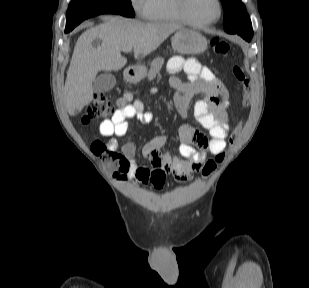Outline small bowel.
Instances as JSON below:
<instances>
[{
  "instance_id": "1",
  "label": "small bowel",
  "mask_w": 309,
  "mask_h": 288,
  "mask_svg": "<svg viewBox=\"0 0 309 288\" xmlns=\"http://www.w3.org/2000/svg\"><path fill=\"white\" fill-rule=\"evenodd\" d=\"M182 69L188 74L189 82L183 83L176 77L171 78V84L177 90L174 105L180 120L178 136L182 159L161 152L167 140L163 135L153 137L143 148V155L152 163V169L137 164L133 143H126L121 148L127 162V173L138 184H150L156 190L163 188L168 174L178 182H185L201 171L209 153L218 154L225 150V139L230 130L227 114L229 98L224 86L207 67L194 58L184 60L172 57L168 63V71L175 74ZM195 95H199V99L194 104V115L198 123L209 131V139L183 122L189 102ZM117 104L118 108L113 116L99 126V133L106 138L111 151L118 148L116 138L127 134L129 119H136L141 123H150L154 119L153 113L144 111L142 103L139 100L132 101L130 94L120 97Z\"/></svg>"
}]
</instances>
